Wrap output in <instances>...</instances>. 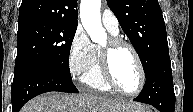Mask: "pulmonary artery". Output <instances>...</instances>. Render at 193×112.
I'll use <instances>...</instances> for the list:
<instances>
[{"mask_svg": "<svg viewBox=\"0 0 193 112\" xmlns=\"http://www.w3.org/2000/svg\"><path fill=\"white\" fill-rule=\"evenodd\" d=\"M101 21L103 26L112 34H118L119 32V22L114 13L105 9L101 15Z\"/></svg>", "mask_w": 193, "mask_h": 112, "instance_id": "obj_1", "label": "pulmonary artery"}]
</instances>
